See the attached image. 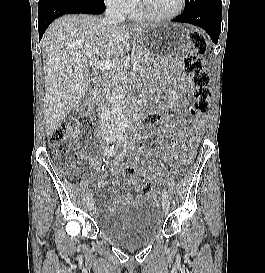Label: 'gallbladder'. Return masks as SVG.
Wrapping results in <instances>:
<instances>
[{
  "instance_id": "1",
  "label": "gallbladder",
  "mask_w": 265,
  "mask_h": 273,
  "mask_svg": "<svg viewBox=\"0 0 265 273\" xmlns=\"http://www.w3.org/2000/svg\"><path fill=\"white\" fill-rule=\"evenodd\" d=\"M93 87H94V81L90 83L84 97L82 98L81 102L78 105V109H81L87 105L91 95V90L93 89Z\"/></svg>"
}]
</instances>
